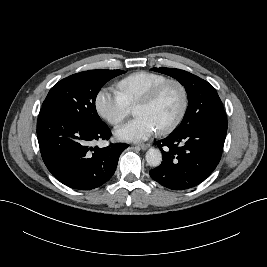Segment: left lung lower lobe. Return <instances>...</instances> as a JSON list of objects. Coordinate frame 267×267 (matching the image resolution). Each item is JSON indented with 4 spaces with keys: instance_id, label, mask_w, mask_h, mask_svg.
Listing matches in <instances>:
<instances>
[{
    "instance_id": "obj_1",
    "label": "left lung lower lobe",
    "mask_w": 267,
    "mask_h": 267,
    "mask_svg": "<svg viewBox=\"0 0 267 267\" xmlns=\"http://www.w3.org/2000/svg\"><path fill=\"white\" fill-rule=\"evenodd\" d=\"M226 133L227 118L211 114L204 122L157 141L163 162L150 171L151 178L171 190L197 186L218 165Z\"/></svg>"
}]
</instances>
